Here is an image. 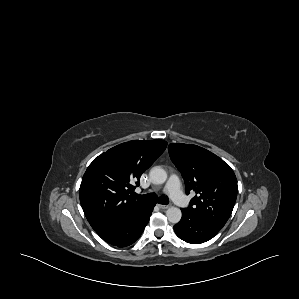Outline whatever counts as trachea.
I'll return each instance as SVG.
<instances>
[{
	"label": "trachea",
	"instance_id": "3493384b",
	"mask_svg": "<svg viewBox=\"0 0 299 299\" xmlns=\"http://www.w3.org/2000/svg\"><path fill=\"white\" fill-rule=\"evenodd\" d=\"M134 197L137 199H140L142 201L149 202V203H159V204H163V205H167L169 203V199L167 197L160 196L158 198L152 193L145 194V195L134 194Z\"/></svg>",
	"mask_w": 299,
	"mask_h": 299
}]
</instances>
